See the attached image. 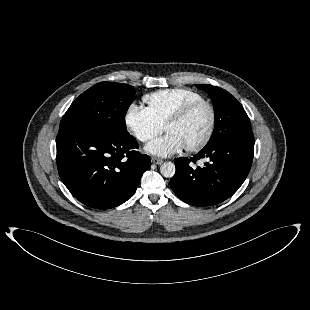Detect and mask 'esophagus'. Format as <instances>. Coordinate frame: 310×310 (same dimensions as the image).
I'll return each mask as SVG.
<instances>
[{"mask_svg": "<svg viewBox=\"0 0 310 310\" xmlns=\"http://www.w3.org/2000/svg\"><path fill=\"white\" fill-rule=\"evenodd\" d=\"M151 161H152V163H154V164H156V165H160V164H162V162H163L161 159L156 158V157H152V158H151Z\"/></svg>", "mask_w": 310, "mask_h": 310, "instance_id": "esophagus-1", "label": "esophagus"}]
</instances>
